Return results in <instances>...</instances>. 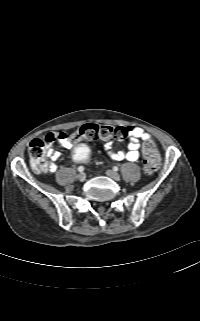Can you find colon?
<instances>
[{"label": "colon", "mask_w": 200, "mask_h": 321, "mask_svg": "<svg viewBox=\"0 0 200 321\" xmlns=\"http://www.w3.org/2000/svg\"><path fill=\"white\" fill-rule=\"evenodd\" d=\"M126 130L122 127H112L107 125L86 124L79 127L71 135L74 142L82 140H123ZM54 140V136L49 134L44 139H34L31 141L28 151L31 166L36 172H46L49 170L47 159L46 144ZM71 163L82 165L90 156V148L87 143L79 142L73 144L70 149ZM143 170L146 174H153L160 165V154L153 142H146L142 148Z\"/></svg>", "instance_id": "1"}]
</instances>
